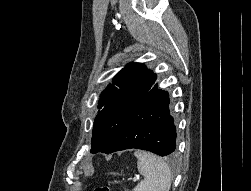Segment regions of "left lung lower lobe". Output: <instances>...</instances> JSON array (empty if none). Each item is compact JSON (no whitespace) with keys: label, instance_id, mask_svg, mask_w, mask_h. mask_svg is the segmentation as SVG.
Returning <instances> with one entry per match:
<instances>
[{"label":"left lung lower lobe","instance_id":"0a47b994","mask_svg":"<svg viewBox=\"0 0 251 191\" xmlns=\"http://www.w3.org/2000/svg\"><path fill=\"white\" fill-rule=\"evenodd\" d=\"M166 91L152 87L136 104L107 154L142 149L160 156L176 151V126Z\"/></svg>","mask_w":251,"mask_h":191}]
</instances>
